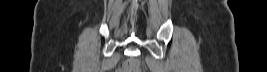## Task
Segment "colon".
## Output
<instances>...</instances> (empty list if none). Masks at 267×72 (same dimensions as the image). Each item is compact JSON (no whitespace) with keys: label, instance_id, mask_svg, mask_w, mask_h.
Segmentation results:
<instances>
[{"label":"colon","instance_id":"obj_1","mask_svg":"<svg viewBox=\"0 0 267 72\" xmlns=\"http://www.w3.org/2000/svg\"><path fill=\"white\" fill-rule=\"evenodd\" d=\"M121 72H139V66L134 61H128L125 63L123 69L120 70Z\"/></svg>","mask_w":267,"mask_h":72}]
</instances>
